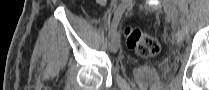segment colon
Returning a JSON list of instances; mask_svg holds the SVG:
<instances>
[{"mask_svg":"<svg viewBox=\"0 0 209 90\" xmlns=\"http://www.w3.org/2000/svg\"><path fill=\"white\" fill-rule=\"evenodd\" d=\"M124 35L128 48L133 49L140 57L151 58L160 51L158 40L139 28L127 27Z\"/></svg>","mask_w":209,"mask_h":90,"instance_id":"5ec220e1","label":"colon"}]
</instances>
